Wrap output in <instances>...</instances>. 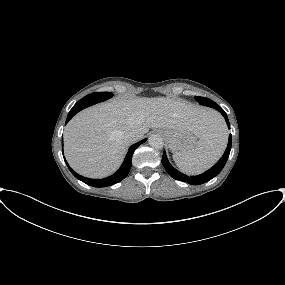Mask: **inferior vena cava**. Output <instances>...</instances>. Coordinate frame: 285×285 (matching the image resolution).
<instances>
[{
  "label": "inferior vena cava",
  "instance_id": "1",
  "mask_svg": "<svg viewBox=\"0 0 285 285\" xmlns=\"http://www.w3.org/2000/svg\"><path fill=\"white\" fill-rule=\"evenodd\" d=\"M123 138L127 143H132L140 140L142 138V135L135 131H129L124 134Z\"/></svg>",
  "mask_w": 285,
  "mask_h": 285
}]
</instances>
